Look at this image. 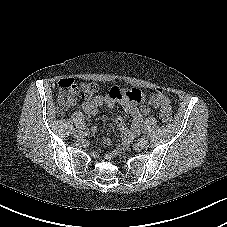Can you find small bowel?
Instances as JSON below:
<instances>
[{
    "label": "small bowel",
    "instance_id": "c3829d8e",
    "mask_svg": "<svg viewBox=\"0 0 227 227\" xmlns=\"http://www.w3.org/2000/svg\"><path fill=\"white\" fill-rule=\"evenodd\" d=\"M142 102L143 93L139 88L125 90L114 87L106 95H98L92 100L84 102L82 108L85 113L93 116L103 106L112 109L116 105H120L122 110L133 118L130 129L126 127L121 117L116 119L120 133L127 141H130L140 132L144 116L148 113V109L140 105ZM104 142L108 143V139H105Z\"/></svg>",
    "mask_w": 227,
    "mask_h": 227
}]
</instances>
